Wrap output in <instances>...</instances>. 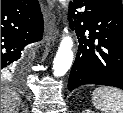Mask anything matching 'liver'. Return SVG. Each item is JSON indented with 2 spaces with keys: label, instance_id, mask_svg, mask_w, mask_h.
Returning <instances> with one entry per match:
<instances>
[{
  "label": "liver",
  "instance_id": "6515ba94",
  "mask_svg": "<svg viewBox=\"0 0 123 113\" xmlns=\"http://www.w3.org/2000/svg\"><path fill=\"white\" fill-rule=\"evenodd\" d=\"M20 105V96L15 91L1 90V113H18Z\"/></svg>",
  "mask_w": 123,
  "mask_h": 113
}]
</instances>
